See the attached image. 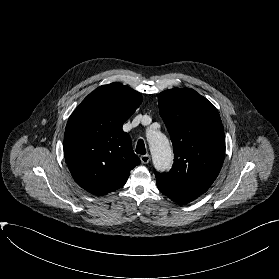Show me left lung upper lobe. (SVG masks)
Returning a JSON list of instances; mask_svg holds the SVG:
<instances>
[{
    "mask_svg": "<svg viewBox=\"0 0 279 279\" xmlns=\"http://www.w3.org/2000/svg\"><path fill=\"white\" fill-rule=\"evenodd\" d=\"M160 115L170 134L174 164L156 174L157 184L198 198L217 178L225 156L224 128L217 109L189 88L158 96Z\"/></svg>",
    "mask_w": 279,
    "mask_h": 279,
    "instance_id": "obj_1",
    "label": "left lung upper lobe"
}]
</instances>
